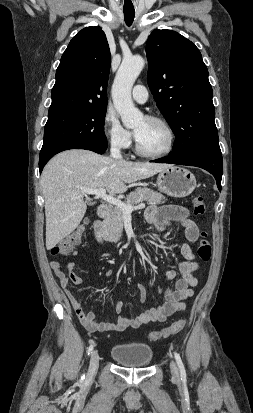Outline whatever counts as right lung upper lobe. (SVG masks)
<instances>
[{
    "instance_id": "obj_1",
    "label": "right lung upper lobe",
    "mask_w": 253,
    "mask_h": 413,
    "mask_svg": "<svg viewBox=\"0 0 253 413\" xmlns=\"http://www.w3.org/2000/svg\"><path fill=\"white\" fill-rule=\"evenodd\" d=\"M110 61L106 35L99 26L79 31L61 57L48 115L107 107Z\"/></svg>"
}]
</instances>
